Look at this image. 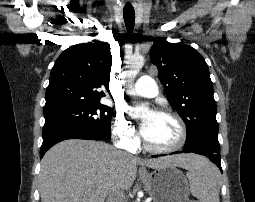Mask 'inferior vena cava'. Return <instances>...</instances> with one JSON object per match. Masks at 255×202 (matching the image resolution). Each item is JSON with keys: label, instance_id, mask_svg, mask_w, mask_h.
I'll return each mask as SVG.
<instances>
[{"label": "inferior vena cava", "instance_id": "inferior-vena-cava-1", "mask_svg": "<svg viewBox=\"0 0 255 202\" xmlns=\"http://www.w3.org/2000/svg\"><path fill=\"white\" fill-rule=\"evenodd\" d=\"M107 202H125L124 192L122 190H114L110 192Z\"/></svg>", "mask_w": 255, "mask_h": 202}]
</instances>
